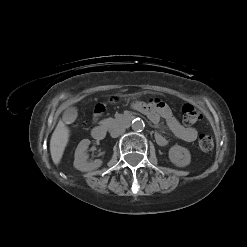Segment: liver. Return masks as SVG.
Masks as SVG:
<instances>
[{
    "label": "liver",
    "instance_id": "1",
    "mask_svg": "<svg viewBox=\"0 0 247 247\" xmlns=\"http://www.w3.org/2000/svg\"><path fill=\"white\" fill-rule=\"evenodd\" d=\"M70 130L62 120H59L50 140L51 158L55 165L62 159L64 150L68 144Z\"/></svg>",
    "mask_w": 247,
    "mask_h": 247
}]
</instances>
